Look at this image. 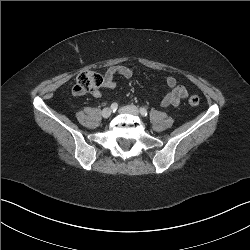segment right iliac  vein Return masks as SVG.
<instances>
[{
    "label": "right iliac vein",
    "mask_w": 250,
    "mask_h": 250,
    "mask_svg": "<svg viewBox=\"0 0 250 250\" xmlns=\"http://www.w3.org/2000/svg\"><path fill=\"white\" fill-rule=\"evenodd\" d=\"M111 114H112V110L110 108H105L102 111V116L104 118H109L111 116Z\"/></svg>",
    "instance_id": "1"
}]
</instances>
